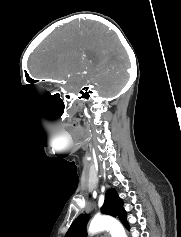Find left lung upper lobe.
I'll return each mask as SVG.
<instances>
[{
    "mask_svg": "<svg viewBox=\"0 0 181 237\" xmlns=\"http://www.w3.org/2000/svg\"><path fill=\"white\" fill-rule=\"evenodd\" d=\"M101 211L104 214L118 217L123 225L129 229V225L126 220L127 213L123 208V201L120 197H118L115 189H109L107 191ZM89 218V214L79 215L71 224L65 237H86V225Z\"/></svg>",
    "mask_w": 181,
    "mask_h": 237,
    "instance_id": "5c2ea615",
    "label": "left lung upper lobe"
}]
</instances>
